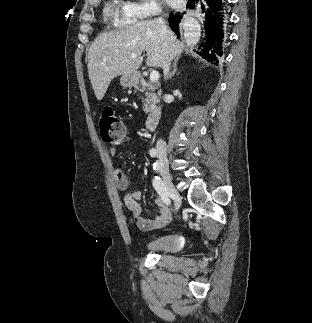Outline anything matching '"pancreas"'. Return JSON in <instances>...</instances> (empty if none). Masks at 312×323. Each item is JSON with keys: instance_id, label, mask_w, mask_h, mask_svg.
<instances>
[{"instance_id": "obj_1", "label": "pancreas", "mask_w": 312, "mask_h": 323, "mask_svg": "<svg viewBox=\"0 0 312 323\" xmlns=\"http://www.w3.org/2000/svg\"><path fill=\"white\" fill-rule=\"evenodd\" d=\"M146 86L147 90H152V92H148V94H146L147 98L144 100L145 104H143L144 112L145 114H148V112H153V110L157 108L156 104H158V100L156 94H153V86H151V84H146Z\"/></svg>"}]
</instances>
